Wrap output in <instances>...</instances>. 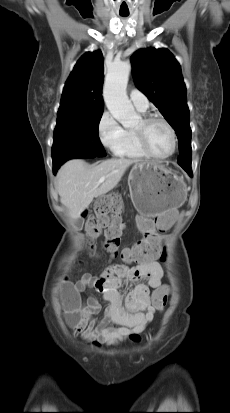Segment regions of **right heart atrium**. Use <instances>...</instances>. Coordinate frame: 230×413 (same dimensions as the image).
Here are the masks:
<instances>
[{
    "mask_svg": "<svg viewBox=\"0 0 230 413\" xmlns=\"http://www.w3.org/2000/svg\"><path fill=\"white\" fill-rule=\"evenodd\" d=\"M97 132L103 147L116 154L124 139L125 130L109 111H104L101 115Z\"/></svg>",
    "mask_w": 230,
    "mask_h": 413,
    "instance_id": "right-heart-atrium-1",
    "label": "right heart atrium"
}]
</instances>
